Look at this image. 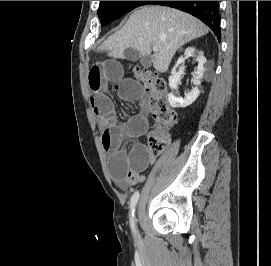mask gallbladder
I'll return each instance as SVG.
<instances>
[{
  "label": "gallbladder",
  "instance_id": "gallbladder-1",
  "mask_svg": "<svg viewBox=\"0 0 271 266\" xmlns=\"http://www.w3.org/2000/svg\"><path fill=\"white\" fill-rule=\"evenodd\" d=\"M125 59L127 60H136L137 52L133 49H126L124 52ZM140 63L144 68H149L151 66V59L149 56L142 57Z\"/></svg>",
  "mask_w": 271,
  "mask_h": 266
}]
</instances>
